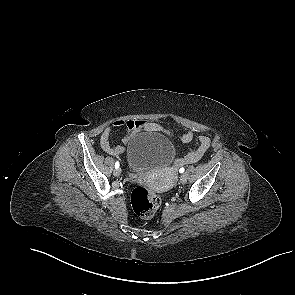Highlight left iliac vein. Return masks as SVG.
<instances>
[{"mask_svg":"<svg viewBox=\"0 0 295 295\" xmlns=\"http://www.w3.org/2000/svg\"><path fill=\"white\" fill-rule=\"evenodd\" d=\"M180 182L182 184L186 183L187 182V176L185 174H182L181 177H180Z\"/></svg>","mask_w":295,"mask_h":295,"instance_id":"1","label":"left iliac vein"}]
</instances>
